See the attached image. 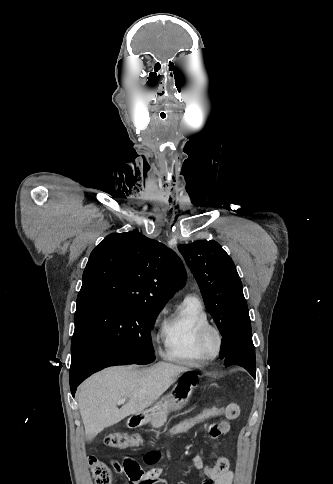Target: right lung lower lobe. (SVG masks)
<instances>
[{"label": "right lung lower lobe", "mask_w": 333, "mask_h": 484, "mask_svg": "<svg viewBox=\"0 0 333 484\" xmlns=\"http://www.w3.org/2000/svg\"><path fill=\"white\" fill-rule=\"evenodd\" d=\"M71 355L70 388L73 397L77 386L91 374L112 365L133 364L119 347L88 331L79 335Z\"/></svg>", "instance_id": "1"}]
</instances>
